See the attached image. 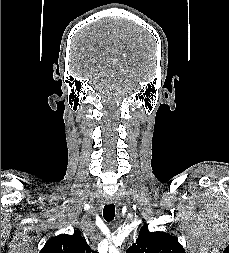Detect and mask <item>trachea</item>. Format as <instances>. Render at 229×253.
<instances>
[{"instance_id": "obj_1", "label": "trachea", "mask_w": 229, "mask_h": 253, "mask_svg": "<svg viewBox=\"0 0 229 253\" xmlns=\"http://www.w3.org/2000/svg\"><path fill=\"white\" fill-rule=\"evenodd\" d=\"M115 216V205L108 204L104 206L103 217L107 222H111Z\"/></svg>"}]
</instances>
